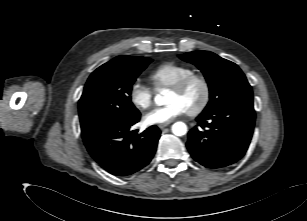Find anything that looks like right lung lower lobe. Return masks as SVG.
I'll return each mask as SVG.
<instances>
[{
  "label": "right lung lower lobe",
  "mask_w": 307,
  "mask_h": 221,
  "mask_svg": "<svg viewBox=\"0 0 307 221\" xmlns=\"http://www.w3.org/2000/svg\"><path fill=\"white\" fill-rule=\"evenodd\" d=\"M139 120L140 114L123 123L103 126L83 138L91 157L110 174L129 176L152 160L161 132L151 126L138 134L132 126Z\"/></svg>",
  "instance_id": "98d812e1"
}]
</instances>
